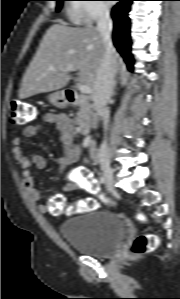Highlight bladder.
I'll return each mask as SVG.
<instances>
[{
  "label": "bladder",
  "mask_w": 180,
  "mask_h": 299,
  "mask_svg": "<svg viewBox=\"0 0 180 299\" xmlns=\"http://www.w3.org/2000/svg\"><path fill=\"white\" fill-rule=\"evenodd\" d=\"M60 233L74 250L93 257H106L120 248L126 226L111 211L97 209L65 220Z\"/></svg>",
  "instance_id": "obj_1"
}]
</instances>
